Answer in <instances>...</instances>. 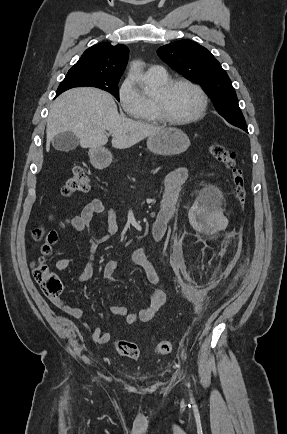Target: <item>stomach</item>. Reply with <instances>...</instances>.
I'll list each match as a JSON object with an SVG mask.
<instances>
[{"instance_id": "obj_1", "label": "stomach", "mask_w": 287, "mask_h": 434, "mask_svg": "<svg viewBox=\"0 0 287 434\" xmlns=\"http://www.w3.org/2000/svg\"><path fill=\"white\" fill-rule=\"evenodd\" d=\"M190 146L188 136L177 128H165L149 136L148 149L161 156L178 155L185 152ZM91 163L97 167H106L112 162V154L105 148H90Z\"/></svg>"}]
</instances>
